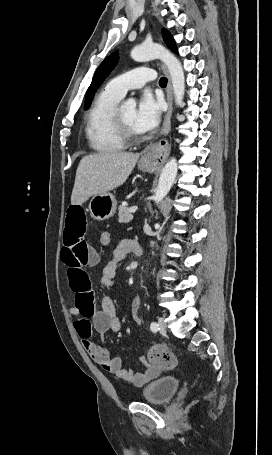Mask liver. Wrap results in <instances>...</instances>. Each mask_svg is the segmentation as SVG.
Here are the masks:
<instances>
[{
    "label": "liver",
    "instance_id": "6515ba94",
    "mask_svg": "<svg viewBox=\"0 0 272 455\" xmlns=\"http://www.w3.org/2000/svg\"><path fill=\"white\" fill-rule=\"evenodd\" d=\"M139 156V153L105 152L83 157L76 171L71 204L81 205L91 196L121 186L131 174Z\"/></svg>",
    "mask_w": 272,
    "mask_h": 455
}]
</instances>
